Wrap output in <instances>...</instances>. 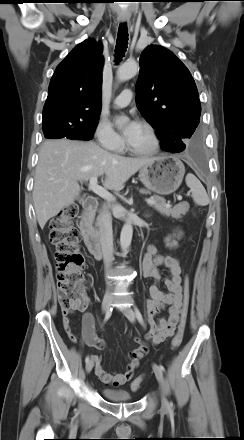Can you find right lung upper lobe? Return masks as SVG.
Listing matches in <instances>:
<instances>
[{"label":"right lung upper lobe","instance_id":"cb5924a9","mask_svg":"<svg viewBox=\"0 0 244 440\" xmlns=\"http://www.w3.org/2000/svg\"><path fill=\"white\" fill-rule=\"evenodd\" d=\"M102 68L101 44L94 39L78 44L52 76L43 122L64 120L81 125L99 119Z\"/></svg>","mask_w":244,"mask_h":440}]
</instances>
